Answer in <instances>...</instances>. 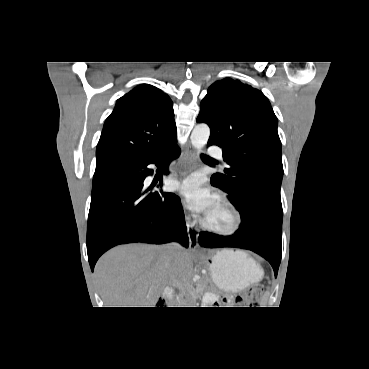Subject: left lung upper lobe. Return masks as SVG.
I'll return each mask as SVG.
<instances>
[{
    "mask_svg": "<svg viewBox=\"0 0 369 369\" xmlns=\"http://www.w3.org/2000/svg\"><path fill=\"white\" fill-rule=\"evenodd\" d=\"M196 121L210 127L208 145L222 148L230 168L213 174L211 180L229 194L241 220L249 222L262 202L282 208L281 141L266 96L238 80L216 81L201 101Z\"/></svg>",
    "mask_w": 369,
    "mask_h": 369,
    "instance_id": "5c2ea615",
    "label": "left lung upper lobe"
}]
</instances>
